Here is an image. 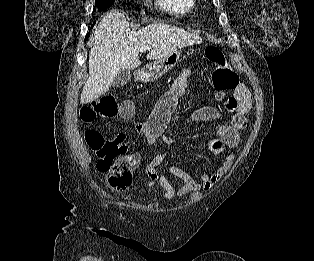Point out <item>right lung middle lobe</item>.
<instances>
[{
	"label": "right lung middle lobe",
	"instance_id": "dd1d6c3e",
	"mask_svg": "<svg viewBox=\"0 0 314 261\" xmlns=\"http://www.w3.org/2000/svg\"><path fill=\"white\" fill-rule=\"evenodd\" d=\"M115 0H96V6L103 11L114 3ZM93 27V26H92Z\"/></svg>",
	"mask_w": 314,
	"mask_h": 261
}]
</instances>
